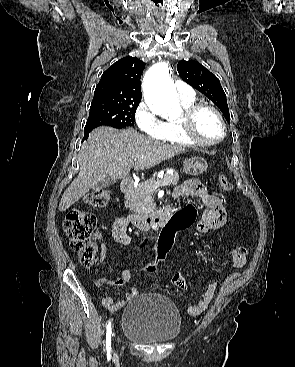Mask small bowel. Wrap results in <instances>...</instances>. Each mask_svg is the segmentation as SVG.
<instances>
[{
  "label": "small bowel",
  "mask_w": 295,
  "mask_h": 367,
  "mask_svg": "<svg viewBox=\"0 0 295 367\" xmlns=\"http://www.w3.org/2000/svg\"><path fill=\"white\" fill-rule=\"evenodd\" d=\"M174 195L177 198L190 196L197 198L199 205L202 209L200 220L197 224V230L203 234L207 235L212 231L218 230L225 225L226 222V212L221 204L220 198L214 196L211 192H209L205 186L197 179H188L184 181L182 184L178 185L174 190ZM128 226L129 220L126 217H117L115 218L111 233L116 242L122 245L130 244V236L128 234ZM106 253L105 244L101 247L100 256L96 262V267L100 265L103 261ZM243 264L234 263L235 267H241ZM132 274L130 270L126 269L122 271L121 277L116 278L114 280H105L99 279L97 281L98 286L102 285H112V286H122L131 281ZM173 282L181 287L185 288L186 282L183 275L180 272H177L173 276ZM217 289V283L212 282L208 285L205 293L203 294L202 299L188 308L189 314L193 316L200 315L202 312L206 310L210 302L212 301L214 294ZM138 295V291L136 288H130L126 297L122 300H114L112 297H105L102 300V306L107 309L111 313L117 312L120 308L124 306V304L135 298Z\"/></svg>",
  "instance_id": "1"
}]
</instances>
